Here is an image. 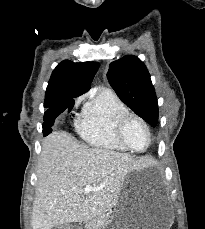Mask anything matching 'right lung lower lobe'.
<instances>
[{
  "instance_id": "obj_1",
  "label": "right lung lower lobe",
  "mask_w": 205,
  "mask_h": 229,
  "mask_svg": "<svg viewBox=\"0 0 205 229\" xmlns=\"http://www.w3.org/2000/svg\"><path fill=\"white\" fill-rule=\"evenodd\" d=\"M73 106H74V100L68 99L53 105L45 112L44 123H43L44 136H47L49 133L52 132L51 127L54 124L55 118L59 116L66 109H68V112H70Z\"/></svg>"
}]
</instances>
